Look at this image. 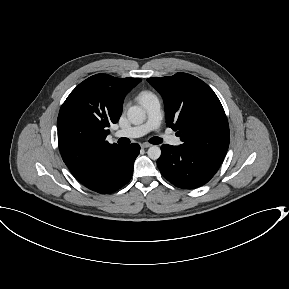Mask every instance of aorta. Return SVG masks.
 I'll list each match as a JSON object with an SVG mask.
<instances>
[{
  "mask_svg": "<svg viewBox=\"0 0 289 289\" xmlns=\"http://www.w3.org/2000/svg\"><path fill=\"white\" fill-rule=\"evenodd\" d=\"M127 118L130 123L139 125L143 123L146 118L145 110L140 106H131L127 111ZM147 154L152 160H157L161 155V149L156 145L151 146Z\"/></svg>",
  "mask_w": 289,
  "mask_h": 289,
  "instance_id": "aorta-1",
  "label": "aorta"
}]
</instances>
